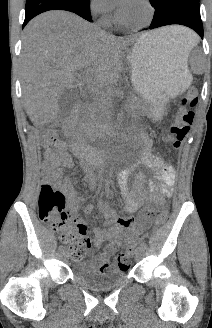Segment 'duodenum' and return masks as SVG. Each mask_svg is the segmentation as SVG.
<instances>
[{"label": "duodenum", "mask_w": 212, "mask_h": 328, "mask_svg": "<svg viewBox=\"0 0 212 328\" xmlns=\"http://www.w3.org/2000/svg\"><path fill=\"white\" fill-rule=\"evenodd\" d=\"M82 95L85 98L92 97V92L88 88H83ZM78 114V110L75 109L71 114L63 121L64 131L72 137V149L76 156L83 160L84 169L89 171V164L98 163L102 159V155H96L92 146L88 145L85 141L75 135L74 121Z\"/></svg>", "instance_id": "obj_1"}]
</instances>
